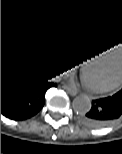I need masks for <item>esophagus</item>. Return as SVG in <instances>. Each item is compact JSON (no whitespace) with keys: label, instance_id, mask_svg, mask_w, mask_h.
Masks as SVG:
<instances>
[{"label":"esophagus","instance_id":"34e87169","mask_svg":"<svg viewBox=\"0 0 122 154\" xmlns=\"http://www.w3.org/2000/svg\"><path fill=\"white\" fill-rule=\"evenodd\" d=\"M65 90L71 96H75L79 92L77 88H71V87H66Z\"/></svg>","mask_w":122,"mask_h":154}]
</instances>
